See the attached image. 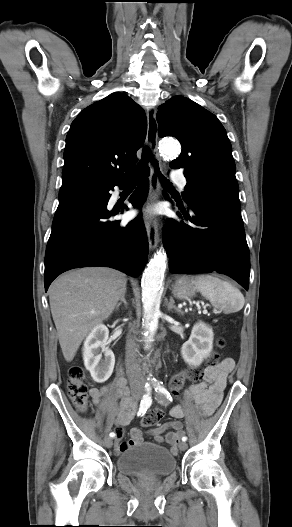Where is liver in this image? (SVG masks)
<instances>
[{
    "label": "liver",
    "mask_w": 292,
    "mask_h": 527,
    "mask_svg": "<svg viewBox=\"0 0 292 527\" xmlns=\"http://www.w3.org/2000/svg\"><path fill=\"white\" fill-rule=\"evenodd\" d=\"M126 284V276L117 270L87 267L70 271L50 285L51 313L67 362L73 360L86 335L112 314Z\"/></svg>",
    "instance_id": "liver-1"
}]
</instances>
